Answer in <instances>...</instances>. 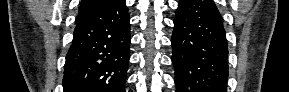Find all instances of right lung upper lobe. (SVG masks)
Instances as JSON below:
<instances>
[{"mask_svg": "<svg viewBox=\"0 0 289 92\" xmlns=\"http://www.w3.org/2000/svg\"><path fill=\"white\" fill-rule=\"evenodd\" d=\"M115 1L116 0H82V3L79 6V13L99 9L110 5Z\"/></svg>", "mask_w": 289, "mask_h": 92, "instance_id": "1", "label": "right lung upper lobe"}]
</instances>
